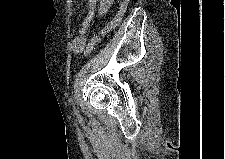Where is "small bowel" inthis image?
Listing matches in <instances>:
<instances>
[{"label": "small bowel", "instance_id": "obj_1", "mask_svg": "<svg viewBox=\"0 0 225 159\" xmlns=\"http://www.w3.org/2000/svg\"><path fill=\"white\" fill-rule=\"evenodd\" d=\"M113 0H101L97 6L96 0H88L87 3V15L84 19L80 29L77 31L72 43L71 49L73 53L80 54L84 51L87 41V30L89 28L90 23L93 20L95 12L99 15H105L110 9ZM97 6V7H96Z\"/></svg>", "mask_w": 225, "mask_h": 159}]
</instances>
